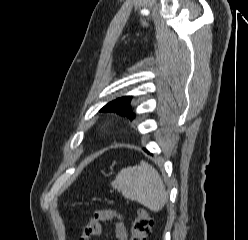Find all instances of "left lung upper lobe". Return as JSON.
I'll return each mask as SVG.
<instances>
[{
  "instance_id": "5c2ea615",
  "label": "left lung upper lobe",
  "mask_w": 248,
  "mask_h": 240,
  "mask_svg": "<svg viewBox=\"0 0 248 240\" xmlns=\"http://www.w3.org/2000/svg\"><path fill=\"white\" fill-rule=\"evenodd\" d=\"M130 100H131L130 96H123L117 98L106 104L103 108H101L100 112H114L132 120L135 118V114L133 113L131 107L129 106Z\"/></svg>"
}]
</instances>
